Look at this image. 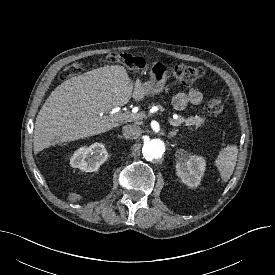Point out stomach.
I'll return each mask as SVG.
<instances>
[{
  "label": "stomach",
  "mask_w": 275,
  "mask_h": 275,
  "mask_svg": "<svg viewBox=\"0 0 275 275\" xmlns=\"http://www.w3.org/2000/svg\"><path fill=\"white\" fill-rule=\"evenodd\" d=\"M167 80V66L160 61L151 66L150 80L143 84L145 94H158L163 91Z\"/></svg>",
  "instance_id": "1"
}]
</instances>
